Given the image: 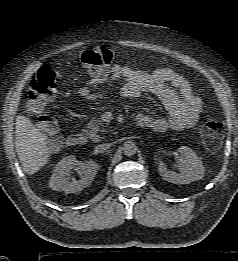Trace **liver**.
I'll return each instance as SVG.
<instances>
[{
	"mask_svg": "<svg viewBox=\"0 0 238 261\" xmlns=\"http://www.w3.org/2000/svg\"><path fill=\"white\" fill-rule=\"evenodd\" d=\"M15 147L24 171L33 175L45 166L51 154L46 134L23 115L16 117Z\"/></svg>",
	"mask_w": 238,
	"mask_h": 261,
	"instance_id": "6515ba94",
	"label": "liver"
}]
</instances>
